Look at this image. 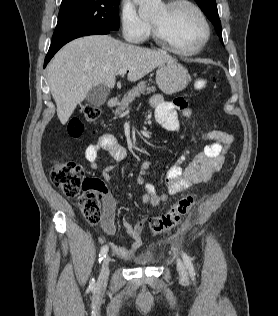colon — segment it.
Instances as JSON below:
<instances>
[{
  "label": "colon",
  "mask_w": 278,
  "mask_h": 316,
  "mask_svg": "<svg viewBox=\"0 0 278 316\" xmlns=\"http://www.w3.org/2000/svg\"><path fill=\"white\" fill-rule=\"evenodd\" d=\"M207 85L205 79H198L194 83L196 90H203ZM84 120L94 122L100 117V110L95 107L82 106L79 108ZM68 133L79 137L83 133V122L73 117L67 124ZM52 184L69 198H77L85 219L91 224H97L102 218L101 196L103 184L96 178L85 177L83 168L70 160H56L50 167ZM195 199L192 195L180 198L166 213L153 217L149 222V229L153 235L164 233L176 227L194 207Z\"/></svg>",
  "instance_id": "5ec220e1"
}]
</instances>
